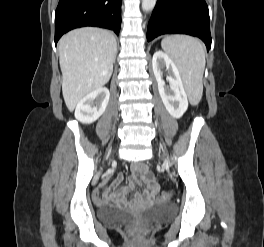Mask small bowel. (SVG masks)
Instances as JSON below:
<instances>
[{
	"mask_svg": "<svg viewBox=\"0 0 264 247\" xmlns=\"http://www.w3.org/2000/svg\"><path fill=\"white\" fill-rule=\"evenodd\" d=\"M131 178L129 188L118 190V185L122 182L123 176L118 175L105 192L97 190L95 192V200L99 203L112 202L115 204H123L126 201V196L135 190L139 182H143L146 185L143 195L136 193V201H151L158 192V185L151 172H149L147 166L142 162L133 163L131 165Z\"/></svg>",
	"mask_w": 264,
	"mask_h": 247,
	"instance_id": "small-bowel-1",
	"label": "small bowel"
}]
</instances>
